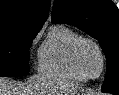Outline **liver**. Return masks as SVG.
<instances>
[{
	"instance_id": "obj_1",
	"label": "liver",
	"mask_w": 119,
	"mask_h": 95,
	"mask_svg": "<svg viewBox=\"0 0 119 95\" xmlns=\"http://www.w3.org/2000/svg\"><path fill=\"white\" fill-rule=\"evenodd\" d=\"M76 89L66 82H47L44 76H34L25 82L0 77V95H69Z\"/></svg>"
}]
</instances>
